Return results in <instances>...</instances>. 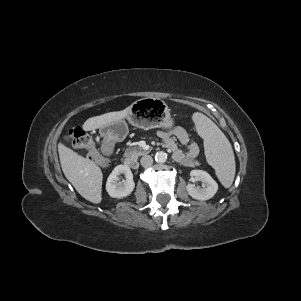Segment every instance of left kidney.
<instances>
[{
    "label": "left kidney",
    "mask_w": 301,
    "mask_h": 301,
    "mask_svg": "<svg viewBox=\"0 0 301 301\" xmlns=\"http://www.w3.org/2000/svg\"><path fill=\"white\" fill-rule=\"evenodd\" d=\"M190 175L194 179L200 180L204 183L202 188L195 186L194 184H188L186 186L187 192L192 198L196 200H208L216 194L218 185L206 171L192 170Z\"/></svg>",
    "instance_id": "5707ae66"
}]
</instances>
